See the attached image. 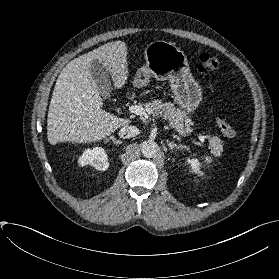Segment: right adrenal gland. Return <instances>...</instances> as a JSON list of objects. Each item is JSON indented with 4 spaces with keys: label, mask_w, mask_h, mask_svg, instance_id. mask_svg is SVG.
<instances>
[{
    "label": "right adrenal gland",
    "mask_w": 279,
    "mask_h": 279,
    "mask_svg": "<svg viewBox=\"0 0 279 279\" xmlns=\"http://www.w3.org/2000/svg\"><path fill=\"white\" fill-rule=\"evenodd\" d=\"M109 140H112L117 145L122 144V141L121 140H116V138L114 136H110L109 138L106 139L105 142H108Z\"/></svg>",
    "instance_id": "right-adrenal-gland-1"
}]
</instances>
